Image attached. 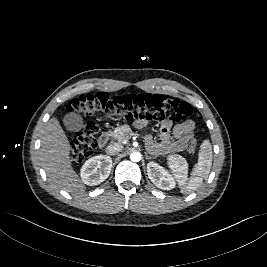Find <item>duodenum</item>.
<instances>
[{
  "instance_id": "1",
  "label": "duodenum",
  "mask_w": 267,
  "mask_h": 267,
  "mask_svg": "<svg viewBox=\"0 0 267 267\" xmlns=\"http://www.w3.org/2000/svg\"><path fill=\"white\" fill-rule=\"evenodd\" d=\"M109 141V135L107 133H103L98 139V147L103 148L107 145Z\"/></svg>"
}]
</instances>
